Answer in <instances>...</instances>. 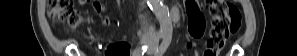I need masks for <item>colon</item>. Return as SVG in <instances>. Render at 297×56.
Here are the masks:
<instances>
[{
    "label": "colon",
    "instance_id": "5ec220e1",
    "mask_svg": "<svg viewBox=\"0 0 297 56\" xmlns=\"http://www.w3.org/2000/svg\"><path fill=\"white\" fill-rule=\"evenodd\" d=\"M206 4L212 17V26L203 56H217L228 37L238 32L241 14L236 5L226 0H207ZM93 7L96 12L102 10L98 2ZM47 10L49 16L70 27H76L82 21L80 12L74 9L73 1L70 0H49Z\"/></svg>",
    "mask_w": 297,
    "mask_h": 56
}]
</instances>
